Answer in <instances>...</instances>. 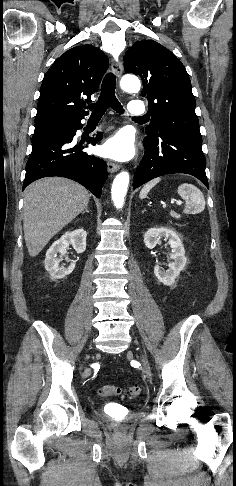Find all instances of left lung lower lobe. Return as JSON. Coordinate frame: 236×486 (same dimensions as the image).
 Here are the masks:
<instances>
[{"mask_svg":"<svg viewBox=\"0 0 236 486\" xmlns=\"http://www.w3.org/2000/svg\"><path fill=\"white\" fill-rule=\"evenodd\" d=\"M143 145L144 157L134 174V189L151 179L173 173L193 175L209 188L201 137L168 132L144 139Z\"/></svg>","mask_w":236,"mask_h":486,"instance_id":"0a47b994","label":"left lung lower lobe"}]
</instances>
